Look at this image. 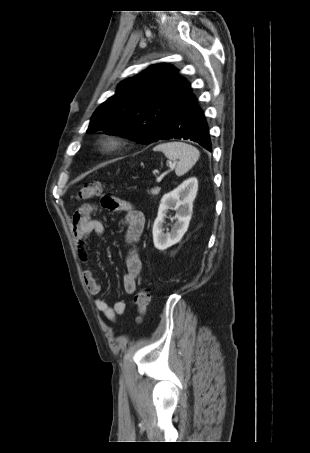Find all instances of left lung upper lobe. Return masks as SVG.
<instances>
[{"label": "left lung upper lobe", "instance_id": "5c2ea615", "mask_svg": "<svg viewBox=\"0 0 310 453\" xmlns=\"http://www.w3.org/2000/svg\"><path fill=\"white\" fill-rule=\"evenodd\" d=\"M187 84L174 67L151 65L118 85L115 95L93 114L87 132L103 128L107 134L127 136L143 144L157 142Z\"/></svg>", "mask_w": 310, "mask_h": 453}]
</instances>
